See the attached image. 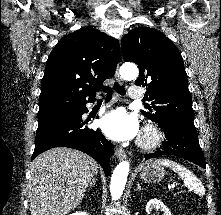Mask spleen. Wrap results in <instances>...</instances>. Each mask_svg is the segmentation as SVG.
<instances>
[{"label": "spleen", "mask_w": 221, "mask_h": 215, "mask_svg": "<svg viewBox=\"0 0 221 215\" xmlns=\"http://www.w3.org/2000/svg\"><path fill=\"white\" fill-rule=\"evenodd\" d=\"M155 163L171 168L180 176V178L184 182V185L194 190L196 194L200 196H203L205 194V188L200 182V180L183 165L164 158L157 159Z\"/></svg>", "instance_id": "spleen-1"}]
</instances>
